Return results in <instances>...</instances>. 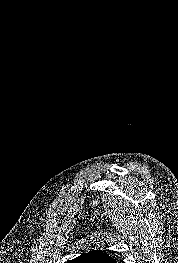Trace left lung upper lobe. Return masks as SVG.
Returning <instances> with one entry per match:
<instances>
[{
	"label": "left lung upper lobe",
	"instance_id": "obj_1",
	"mask_svg": "<svg viewBox=\"0 0 178 263\" xmlns=\"http://www.w3.org/2000/svg\"><path fill=\"white\" fill-rule=\"evenodd\" d=\"M114 259L102 250H92L67 261V263H111Z\"/></svg>",
	"mask_w": 178,
	"mask_h": 263
}]
</instances>
